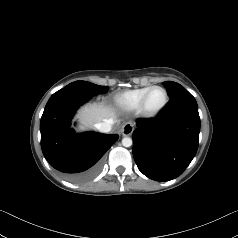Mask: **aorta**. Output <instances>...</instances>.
<instances>
[{"label":"aorta","mask_w":238,"mask_h":238,"mask_svg":"<svg viewBox=\"0 0 238 238\" xmlns=\"http://www.w3.org/2000/svg\"><path fill=\"white\" fill-rule=\"evenodd\" d=\"M132 143H133V141L129 137H125V138L122 139V145L124 147H130L132 145Z\"/></svg>","instance_id":"aorta-1"}]
</instances>
